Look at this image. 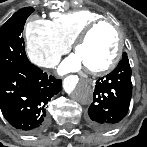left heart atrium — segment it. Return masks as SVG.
Instances as JSON below:
<instances>
[{
  "label": "left heart atrium",
  "mask_w": 147,
  "mask_h": 147,
  "mask_svg": "<svg viewBox=\"0 0 147 147\" xmlns=\"http://www.w3.org/2000/svg\"><path fill=\"white\" fill-rule=\"evenodd\" d=\"M82 67L83 66L78 57L76 55H71L60 64L58 71L60 74H66L79 71Z\"/></svg>",
  "instance_id": "obj_1"
}]
</instances>
